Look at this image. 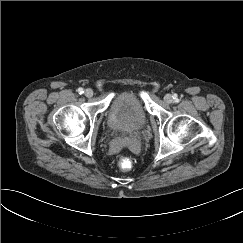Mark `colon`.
Here are the masks:
<instances>
[{
	"mask_svg": "<svg viewBox=\"0 0 243 243\" xmlns=\"http://www.w3.org/2000/svg\"><path fill=\"white\" fill-rule=\"evenodd\" d=\"M118 164L120 169L124 171H128L132 168V161L128 157H120Z\"/></svg>",
	"mask_w": 243,
	"mask_h": 243,
	"instance_id": "5ec220e1",
	"label": "colon"
}]
</instances>
